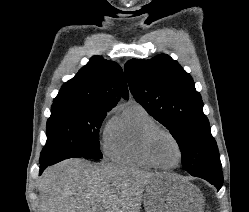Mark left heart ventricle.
<instances>
[{
    "label": "left heart ventricle",
    "mask_w": 249,
    "mask_h": 212,
    "mask_svg": "<svg viewBox=\"0 0 249 212\" xmlns=\"http://www.w3.org/2000/svg\"><path fill=\"white\" fill-rule=\"evenodd\" d=\"M153 150L156 158L163 164L172 165L178 161V149L172 139L166 135H160L156 138Z\"/></svg>",
    "instance_id": "1"
}]
</instances>
